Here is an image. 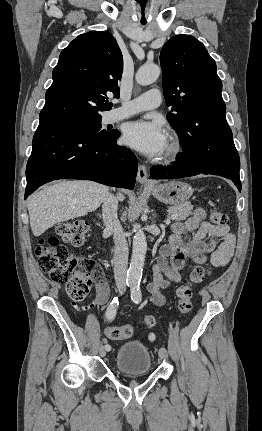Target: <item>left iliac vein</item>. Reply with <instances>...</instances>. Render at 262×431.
<instances>
[{"instance_id": "obj_1", "label": "left iliac vein", "mask_w": 262, "mask_h": 431, "mask_svg": "<svg viewBox=\"0 0 262 431\" xmlns=\"http://www.w3.org/2000/svg\"><path fill=\"white\" fill-rule=\"evenodd\" d=\"M167 356H168V354H167V350H166V348H165V347H161V348L159 349V358H160L161 360H163V359H166V358H167Z\"/></svg>"}]
</instances>
